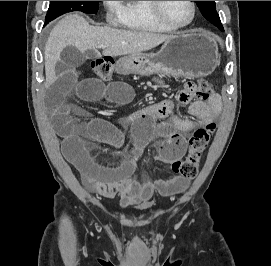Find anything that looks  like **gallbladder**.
Returning a JSON list of instances; mask_svg holds the SVG:
<instances>
[{"label": "gallbladder", "mask_w": 271, "mask_h": 266, "mask_svg": "<svg viewBox=\"0 0 271 266\" xmlns=\"http://www.w3.org/2000/svg\"><path fill=\"white\" fill-rule=\"evenodd\" d=\"M98 54L93 50L81 53L74 46H67L60 55V60L56 63V73L65 75L69 71H74L76 67L81 66L86 59L96 58Z\"/></svg>", "instance_id": "gallbladder-1"}]
</instances>
